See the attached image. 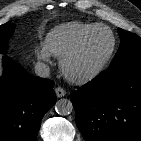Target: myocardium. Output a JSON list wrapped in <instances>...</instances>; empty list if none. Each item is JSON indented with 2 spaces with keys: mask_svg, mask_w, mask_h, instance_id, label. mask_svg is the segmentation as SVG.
Returning <instances> with one entry per match:
<instances>
[{
  "mask_svg": "<svg viewBox=\"0 0 141 141\" xmlns=\"http://www.w3.org/2000/svg\"><path fill=\"white\" fill-rule=\"evenodd\" d=\"M98 29H105L111 35L112 43H111V47H110L107 55L104 57V59L98 65H96L94 68H92L91 70H89L87 72L80 73V74H75V73L71 72V70L69 68V64H70L71 60L81 50V48H82L83 44L85 43V41L87 40V38L94 31H96ZM116 46H117V39H116V36H115L113 30L106 25L95 24L94 26L89 28L66 53H64L61 56V59H60L61 71H62L63 75L70 82H72L74 84H78V85L86 84V83L94 80L95 78H97L105 70V68L108 66V64L110 63V61L115 53Z\"/></svg>",
  "mask_w": 141,
  "mask_h": 141,
  "instance_id": "myocardium-1",
  "label": "myocardium"
}]
</instances>
